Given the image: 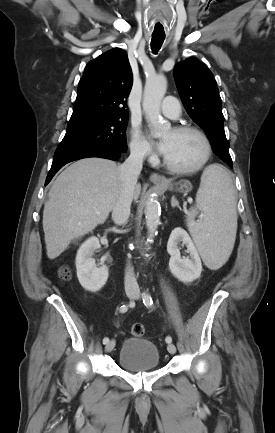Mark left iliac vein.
Instances as JSON below:
<instances>
[{"instance_id":"4c4485c4","label":"left iliac vein","mask_w":275,"mask_h":433,"mask_svg":"<svg viewBox=\"0 0 275 433\" xmlns=\"http://www.w3.org/2000/svg\"><path fill=\"white\" fill-rule=\"evenodd\" d=\"M134 299H139L140 298V294L139 293H135L133 296ZM167 350L170 354H175L176 353V347L174 344H168L167 346Z\"/></svg>"}]
</instances>
